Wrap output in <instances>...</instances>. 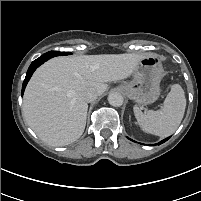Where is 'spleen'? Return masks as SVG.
Here are the masks:
<instances>
[{
    "mask_svg": "<svg viewBox=\"0 0 201 201\" xmlns=\"http://www.w3.org/2000/svg\"><path fill=\"white\" fill-rule=\"evenodd\" d=\"M186 98L182 87L174 84L160 110L142 112L137 106L133 111L138 125L149 134L167 137L173 134L184 116Z\"/></svg>",
    "mask_w": 201,
    "mask_h": 201,
    "instance_id": "obj_1",
    "label": "spleen"
}]
</instances>
